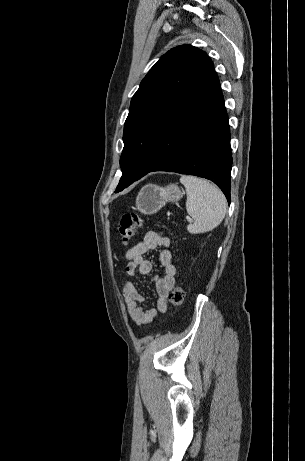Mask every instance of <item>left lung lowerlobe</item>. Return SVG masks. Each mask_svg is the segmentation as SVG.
Here are the masks:
<instances>
[{"label": "left lung lower lobe", "mask_w": 305, "mask_h": 461, "mask_svg": "<svg viewBox=\"0 0 305 461\" xmlns=\"http://www.w3.org/2000/svg\"><path fill=\"white\" fill-rule=\"evenodd\" d=\"M231 164L228 116L212 66L162 128L144 175L170 171L210 179L230 203Z\"/></svg>", "instance_id": "left-lung-lower-lobe-1"}]
</instances>
